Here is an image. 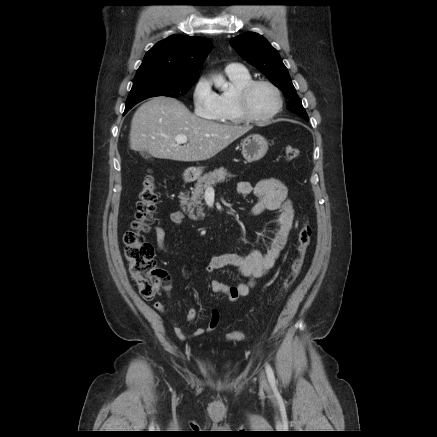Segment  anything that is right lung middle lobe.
Listing matches in <instances>:
<instances>
[{"mask_svg": "<svg viewBox=\"0 0 437 437\" xmlns=\"http://www.w3.org/2000/svg\"><path fill=\"white\" fill-rule=\"evenodd\" d=\"M198 77H180L162 70L137 72L126 101L125 112L142 100L155 96L179 97L185 95Z\"/></svg>", "mask_w": 437, "mask_h": 437, "instance_id": "obj_1", "label": "right lung middle lobe"}]
</instances>
